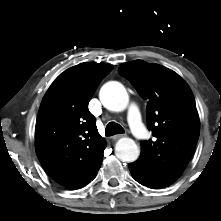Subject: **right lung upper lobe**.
<instances>
[{
    "label": "right lung upper lobe",
    "instance_id": "obj_1",
    "mask_svg": "<svg viewBox=\"0 0 221 221\" xmlns=\"http://www.w3.org/2000/svg\"><path fill=\"white\" fill-rule=\"evenodd\" d=\"M110 65L81 63L60 74L46 92L36 121L35 146L47 174L68 188L93 180L101 166L105 140L88 103Z\"/></svg>",
    "mask_w": 221,
    "mask_h": 221
}]
</instances>
